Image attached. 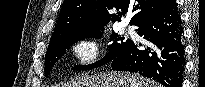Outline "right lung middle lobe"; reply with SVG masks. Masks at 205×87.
<instances>
[{"label": "right lung middle lobe", "instance_id": "1", "mask_svg": "<svg viewBox=\"0 0 205 87\" xmlns=\"http://www.w3.org/2000/svg\"><path fill=\"white\" fill-rule=\"evenodd\" d=\"M102 29L98 30H92V31H81V32H75L71 33L65 37H62L54 42H52L46 52L45 55V76L47 77L50 73V70L56 63L58 59H60L63 54L65 53L66 48H69L70 45L73 43L85 39V38H99L101 37V31ZM111 40L114 42L110 45V54L105 56L102 60L96 62L92 65H82V66H75L73 69L75 70H86L91 69L94 67L101 66L105 63H108L113 59V57L118 53V51L124 47L129 39L125 40V37H118V35L113 32L111 35ZM125 40V41H123Z\"/></svg>", "mask_w": 205, "mask_h": 87}]
</instances>
